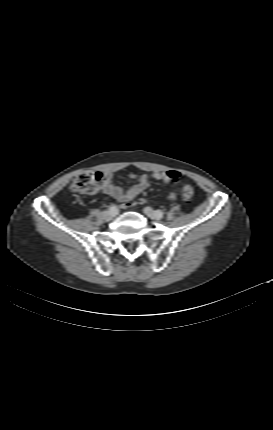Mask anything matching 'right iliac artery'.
<instances>
[{"mask_svg": "<svg viewBox=\"0 0 273 430\" xmlns=\"http://www.w3.org/2000/svg\"><path fill=\"white\" fill-rule=\"evenodd\" d=\"M115 209H117L115 205L110 206V210H115Z\"/></svg>", "mask_w": 273, "mask_h": 430, "instance_id": "obj_1", "label": "right iliac artery"}]
</instances>
